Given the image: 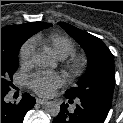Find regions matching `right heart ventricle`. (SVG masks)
Listing matches in <instances>:
<instances>
[{
  "instance_id": "right-heart-ventricle-1",
  "label": "right heart ventricle",
  "mask_w": 123,
  "mask_h": 123,
  "mask_svg": "<svg viewBox=\"0 0 123 123\" xmlns=\"http://www.w3.org/2000/svg\"><path fill=\"white\" fill-rule=\"evenodd\" d=\"M33 41L34 43L44 44L60 59H65L76 51V45L73 40L63 34L37 35L33 38Z\"/></svg>"
}]
</instances>
